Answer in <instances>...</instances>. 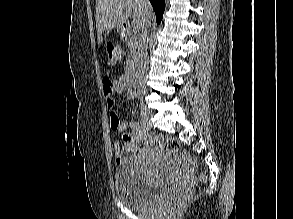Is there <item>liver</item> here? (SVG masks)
I'll return each mask as SVG.
<instances>
[{"mask_svg":"<svg viewBox=\"0 0 293 219\" xmlns=\"http://www.w3.org/2000/svg\"><path fill=\"white\" fill-rule=\"evenodd\" d=\"M131 15L133 26L142 33L154 14L151 5L145 6V0H96L98 44L102 43L105 30L122 29Z\"/></svg>","mask_w":293,"mask_h":219,"instance_id":"liver-1","label":"liver"}]
</instances>
